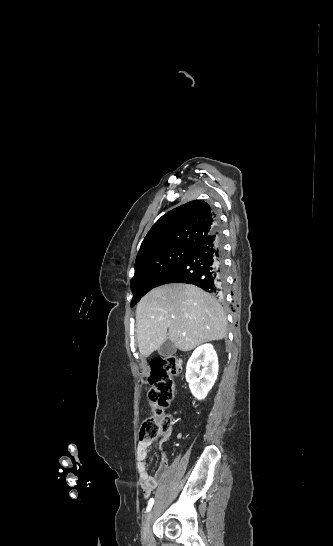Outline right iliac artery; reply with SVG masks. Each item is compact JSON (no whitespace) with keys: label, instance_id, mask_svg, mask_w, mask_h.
Wrapping results in <instances>:
<instances>
[{"label":"right iliac artery","instance_id":"1","mask_svg":"<svg viewBox=\"0 0 333 546\" xmlns=\"http://www.w3.org/2000/svg\"><path fill=\"white\" fill-rule=\"evenodd\" d=\"M153 504H154V498H151V499L149 500V502H148V506H147V509H146L147 512L150 511V509L152 508Z\"/></svg>","mask_w":333,"mask_h":546}]
</instances>
